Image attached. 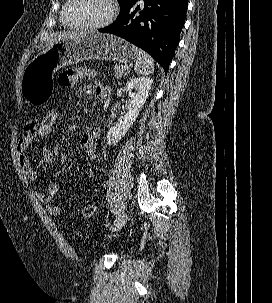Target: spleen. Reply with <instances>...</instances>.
<instances>
[{
  "label": "spleen",
  "instance_id": "spleen-1",
  "mask_svg": "<svg viewBox=\"0 0 272 303\" xmlns=\"http://www.w3.org/2000/svg\"><path fill=\"white\" fill-rule=\"evenodd\" d=\"M136 53L135 71L141 75H149L154 72V60L143 50L133 46Z\"/></svg>",
  "mask_w": 272,
  "mask_h": 303
}]
</instances>
